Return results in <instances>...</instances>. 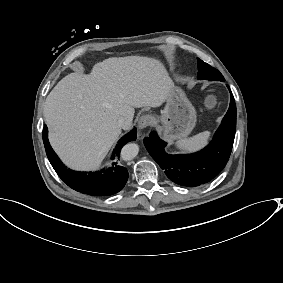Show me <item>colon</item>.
Returning <instances> with one entry per match:
<instances>
[{"instance_id": "5ec220e1", "label": "colon", "mask_w": 283, "mask_h": 283, "mask_svg": "<svg viewBox=\"0 0 283 283\" xmlns=\"http://www.w3.org/2000/svg\"><path fill=\"white\" fill-rule=\"evenodd\" d=\"M205 102L208 107L212 108L218 102L217 96L215 94L210 93L206 96Z\"/></svg>"}]
</instances>
